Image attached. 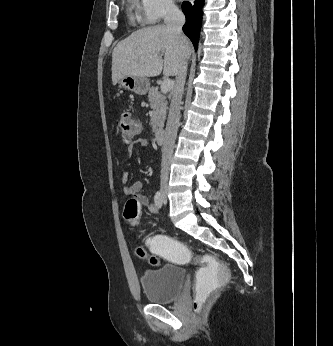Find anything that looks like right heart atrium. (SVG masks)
Here are the masks:
<instances>
[{"label": "right heart atrium", "instance_id": "right-heart-atrium-1", "mask_svg": "<svg viewBox=\"0 0 333 346\" xmlns=\"http://www.w3.org/2000/svg\"><path fill=\"white\" fill-rule=\"evenodd\" d=\"M144 19L153 24L178 12L174 0H140Z\"/></svg>", "mask_w": 333, "mask_h": 346}]
</instances>
